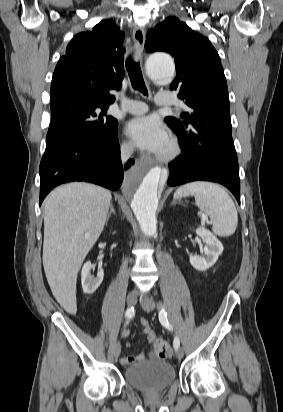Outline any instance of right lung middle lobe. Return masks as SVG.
Segmentation results:
<instances>
[{"instance_id":"1","label":"right lung middle lobe","mask_w":283,"mask_h":412,"mask_svg":"<svg viewBox=\"0 0 283 412\" xmlns=\"http://www.w3.org/2000/svg\"><path fill=\"white\" fill-rule=\"evenodd\" d=\"M108 106L90 103L71 105L60 115H51L46 137V146L55 140L77 134L101 137L118 125L117 120L107 115Z\"/></svg>"}]
</instances>
